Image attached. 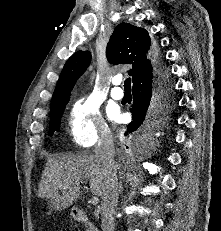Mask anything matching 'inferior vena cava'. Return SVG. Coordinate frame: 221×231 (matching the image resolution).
Listing matches in <instances>:
<instances>
[{"label":"inferior vena cava","instance_id":"1","mask_svg":"<svg viewBox=\"0 0 221 231\" xmlns=\"http://www.w3.org/2000/svg\"><path fill=\"white\" fill-rule=\"evenodd\" d=\"M94 152L96 161L102 167L105 184L101 204V229L102 231H114V216L118 203L119 183L117 166L114 159V142L109 130H103L101 132L99 142L95 146Z\"/></svg>","mask_w":221,"mask_h":231}]
</instances>
